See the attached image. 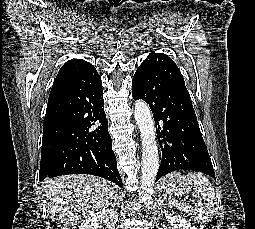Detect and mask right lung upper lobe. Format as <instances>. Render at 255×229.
Listing matches in <instances>:
<instances>
[{"label": "right lung upper lobe", "instance_id": "obj_1", "mask_svg": "<svg viewBox=\"0 0 255 229\" xmlns=\"http://www.w3.org/2000/svg\"><path fill=\"white\" fill-rule=\"evenodd\" d=\"M89 67H92V65L82 59H72L67 61L61 67L54 80L48 102L64 95L70 84Z\"/></svg>", "mask_w": 255, "mask_h": 229}]
</instances>
